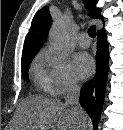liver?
<instances>
[{"instance_id": "1", "label": "liver", "mask_w": 123, "mask_h": 130, "mask_svg": "<svg viewBox=\"0 0 123 130\" xmlns=\"http://www.w3.org/2000/svg\"><path fill=\"white\" fill-rule=\"evenodd\" d=\"M86 113H76L57 98L32 95L22 99L9 130H84Z\"/></svg>"}]
</instances>
